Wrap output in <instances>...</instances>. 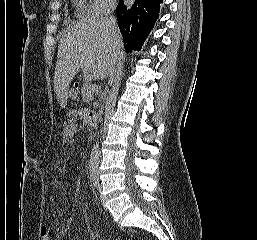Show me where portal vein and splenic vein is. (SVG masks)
<instances>
[{"label": "portal vein and splenic vein", "mask_w": 257, "mask_h": 240, "mask_svg": "<svg viewBox=\"0 0 257 240\" xmlns=\"http://www.w3.org/2000/svg\"><path fill=\"white\" fill-rule=\"evenodd\" d=\"M88 97H89L90 99L93 98V96H92V94H91L90 92L88 93Z\"/></svg>", "instance_id": "portal-vein-and-splenic-vein-1"}]
</instances>
